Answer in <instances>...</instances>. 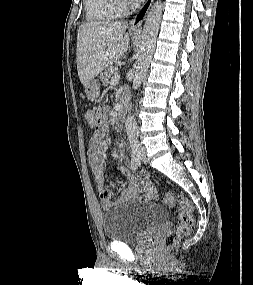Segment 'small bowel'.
Instances as JSON below:
<instances>
[{"label":"small bowel","instance_id":"small-bowel-1","mask_svg":"<svg viewBox=\"0 0 253 285\" xmlns=\"http://www.w3.org/2000/svg\"><path fill=\"white\" fill-rule=\"evenodd\" d=\"M98 114L101 119V124L96 127L95 132L91 136L87 154L95 183L98 189L102 191L105 185L104 166L108 148L107 120L109 109L106 106H101L98 109ZM119 172L128 178L127 186L122 191L120 201H135L142 199L146 201L158 200V190L146 176L135 177L131 175L129 170L124 166L119 167ZM113 199L114 196L112 194L110 197L105 198L102 201V207L104 209L109 208L113 203Z\"/></svg>","mask_w":253,"mask_h":285}]
</instances>
